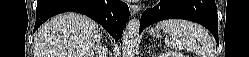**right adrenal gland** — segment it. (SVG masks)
Masks as SVG:
<instances>
[{"mask_svg":"<svg viewBox=\"0 0 249 57\" xmlns=\"http://www.w3.org/2000/svg\"><path fill=\"white\" fill-rule=\"evenodd\" d=\"M97 56L101 57H106V55L108 54V49L106 46H102V44L100 43V40L97 44Z\"/></svg>","mask_w":249,"mask_h":57,"instance_id":"1","label":"right adrenal gland"}]
</instances>
